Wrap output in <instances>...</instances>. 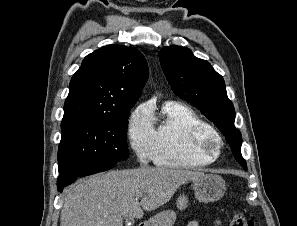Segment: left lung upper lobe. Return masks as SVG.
<instances>
[{"instance_id":"left-lung-upper-lobe-1","label":"left lung upper lobe","mask_w":297,"mask_h":226,"mask_svg":"<svg viewBox=\"0 0 297 226\" xmlns=\"http://www.w3.org/2000/svg\"><path fill=\"white\" fill-rule=\"evenodd\" d=\"M159 59L163 72L177 96L197 107L231 142L235 159L247 169L241 154V133L234 126L235 109L227 97L225 82L205 60L188 48L164 47Z\"/></svg>"}]
</instances>
